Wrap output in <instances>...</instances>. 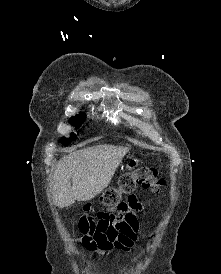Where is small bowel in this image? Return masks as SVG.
<instances>
[{
    "mask_svg": "<svg viewBox=\"0 0 221 274\" xmlns=\"http://www.w3.org/2000/svg\"><path fill=\"white\" fill-rule=\"evenodd\" d=\"M141 200L131 195L127 201L83 215L78 222L83 246L94 253L111 255L130 252L139 241Z\"/></svg>",
    "mask_w": 221,
    "mask_h": 274,
    "instance_id": "obj_1",
    "label": "small bowel"
}]
</instances>
